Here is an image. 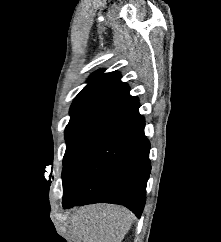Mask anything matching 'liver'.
<instances>
[{"label":"liver","mask_w":221,"mask_h":242,"mask_svg":"<svg viewBox=\"0 0 221 242\" xmlns=\"http://www.w3.org/2000/svg\"><path fill=\"white\" fill-rule=\"evenodd\" d=\"M132 213L117 205H90L71 215V232L78 242H121L131 227Z\"/></svg>","instance_id":"6515ba94"}]
</instances>
